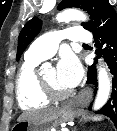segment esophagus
<instances>
[{"label":"esophagus","mask_w":117,"mask_h":131,"mask_svg":"<svg viewBox=\"0 0 117 131\" xmlns=\"http://www.w3.org/2000/svg\"><path fill=\"white\" fill-rule=\"evenodd\" d=\"M90 92V90H86V93L88 94Z\"/></svg>","instance_id":"esophagus-1"}]
</instances>
